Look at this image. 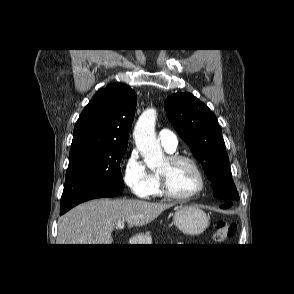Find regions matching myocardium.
Returning <instances> with one entry per match:
<instances>
[{"mask_svg": "<svg viewBox=\"0 0 294 294\" xmlns=\"http://www.w3.org/2000/svg\"><path fill=\"white\" fill-rule=\"evenodd\" d=\"M167 161L170 167H174L180 163L189 164L194 169V171L196 172L198 176L199 185H198V188L190 194H187V195L177 194L171 189L167 174L163 172H158L159 181H160V189L163 195L173 200L188 201L198 196L205 189V185H206L205 175L195 159L189 156L175 154V155L169 156L167 158Z\"/></svg>", "mask_w": 294, "mask_h": 294, "instance_id": "obj_1", "label": "myocardium"}]
</instances>
